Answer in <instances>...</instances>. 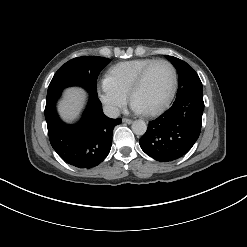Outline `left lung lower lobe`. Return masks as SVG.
Instances as JSON below:
<instances>
[{
	"label": "left lung lower lobe",
	"mask_w": 247,
	"mask_h": 247,
	"mask_svg": "<svg viewBox=\"0 0 247 247\" xmlns=\"http://www.w3.org/2000/svg\"><path fill=\"white\" fill-rule=\"evenodd\" d=\"M204 110L203 92L176 97L173 105L150 121L140 138L141 149L157 161H172L186 154L199 137Z\"/></svg>",
	"instance_id": "1"
}]
</instances>
